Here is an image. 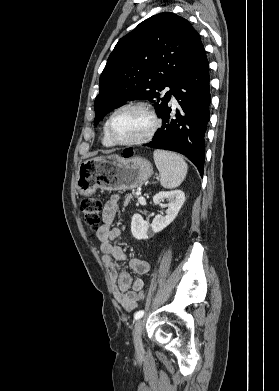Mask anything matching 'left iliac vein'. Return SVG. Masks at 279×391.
I'll return each instance as SVG.
<instances>
[{"label": "left iliac vein", "instance_id": "obj_1", "mask_svg": "<svg viewBox=\"0 0 279 391\" xmlns=\"http://www.w3.org/2000/svg\"><path fill=\"white\" fill-rule=\"evenodd\" d=\"M142 326H143V321L139 319L137 320L133 328V341L136 349L142 348V338H141Z\"/></svg>", "mask_w": 279, "mask_h": 391}]
</instances>
